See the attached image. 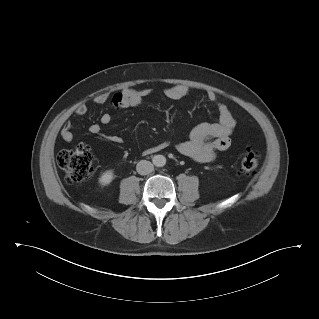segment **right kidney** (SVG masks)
<instances>
[{"label": "right kidney", "mask_w": 319, "mask_h": 319, "mask_svg": "<svg viewBox=\"0 0 319 319\" xmlns=\"http://www.w3.org/2000/svg\"><path fill=\"white\" fill-rule=\"evenodd\" d=\"M113 180V171L112 170H107L105 171L101 177L99 178V183L101 185H108L112 182Z\"/></svg>", "instance_id": "1"}]
</instances>
